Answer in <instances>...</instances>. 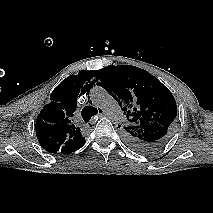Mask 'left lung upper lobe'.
<instances>
[{
  "label": "left lung upper lobe",
  "mask_w": 213,
  "mask_h": 213,
  "mask_svg": "<svg viewBox=\"0 0 213 213\" xmlns=\"http://www.w3.org/2000/svg\"><path fill=\"white\" fill-rule=\"evenodd\" d=\"M96 77L124 111L127 122L121 132L132 149L152 152L170 140L176 128L177 105L157 78L135 66L113 64L97 70Z\"/></svg>",
  "instance_id": "5c2ea615"
}]
</instances>
